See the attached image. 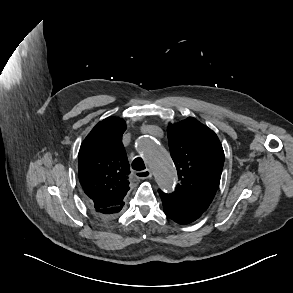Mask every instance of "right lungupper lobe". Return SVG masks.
Returning <instances> with one entry per match:
<instances>
[{"mask_svg":"<svg viewBox=\"0 0 293 293\" xmlns=\"http://www.w3.org/2000/svg\"><path fill=\"white\" fill-rule=\"evenodd\" d=\"M125 122L109 117L98 123L83 141L79 155V180L94 210L124 205L129 164L122 145Z\"/></svg>","mask_w":293,"mask_h":293,"instance_id":"1","label":"right lung upper lobe"}]
</instances>
